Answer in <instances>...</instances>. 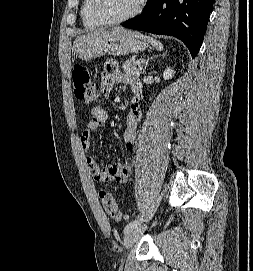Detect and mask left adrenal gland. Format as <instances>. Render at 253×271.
Returning <instances> with one entry per match:
<instances>
[{"label":"left adrenal gland","instance_id":"obj_1","mask_svg":"<svg viewBox=\"0 0 253 271\" xmlns=\"http://www.w3.org/2000/svg\"><path fill=\"white\" fill-rule=\"evenodd\" d=\"M165 55H166V52L162 54V56H165ZM159 56H161V55H159ZM155 57H158V55L152 56V57H150L149 59H147V61H146V63H145V66H144V69H143V72H145V69L147 68L149 61H150L151 59L155 58Z\"/></svg>","mask_w":253,"mask_h":271}]
</instances>
